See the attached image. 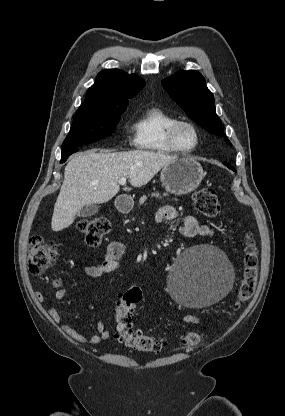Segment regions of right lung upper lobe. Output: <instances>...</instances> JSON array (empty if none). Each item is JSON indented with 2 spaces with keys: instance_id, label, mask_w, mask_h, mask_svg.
Returning a JSON list of instances; mask_svg holds the SVG:
<instances>
[{
  "instance_id": "obj_1",
  "label": "right lung upper lobe",
  "mask_w": 285,
  "mask_h": 416,
  "mask_svg": "<svg viewBox=\"0 0 285 416\" xmlns=\"http://www.w3.org/2000/svg\"><path fill=\"white\" fill-rule=\"evenodd\" d=\"M145 85L136 74H127L119 69H107L98 73L81 107L103 108L128 104Z\"/></svg>"
}]
</instances>
